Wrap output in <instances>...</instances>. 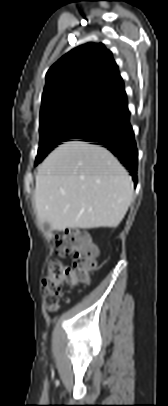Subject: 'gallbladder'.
I'll return each mask as SVG.
<instances>
[{"instance_id": "bac80fb5", "label": "gallbladder", "mask_w": 168, "mask_h": 406, "mask_svg": "<svg viewBox=\"0 0 168 406\" xmlns=\"http://www.w3.org/2000/svg\"><path fill=\"white\" fill-rule=\"evenodd\" d=\"M44 229L49 231L50 230V225L48 223H44Z\"/></svg>"}]
</instances>
